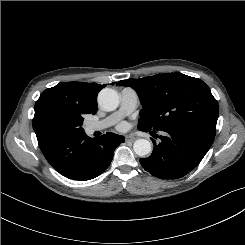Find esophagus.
Instances as JSON below:
<instances>
[{"label":"esophagus","mask_w":245,"mask_h":245,"mask_svg":"<svg viewBox=\"0 0 245 245\" xmlns=\"http://www.w3.org/2000/svg\"><path fill=\"white\" fill-rule=\"evenodd\" d=\"M125 140L128 142H134L136 140V137H134L132 135H126Z\"/></svg>","instance_id":"1"}]
</instances>
